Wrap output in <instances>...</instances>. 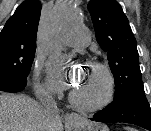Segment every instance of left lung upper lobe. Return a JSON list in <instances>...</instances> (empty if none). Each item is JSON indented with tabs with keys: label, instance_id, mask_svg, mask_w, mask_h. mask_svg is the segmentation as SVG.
Returning a JSON list of instances; mask_svg holds the SVG:
<instances>
[{
	"label": "left lung upper lobe",
	"instance_id": "left-lung-upper-lobe-1",
	"mask_svg": "<svg viewBox=\"0 0 151 131\" xmlns=\"http://www.w3.org/2000/svg\"><path fill=\"white\" fill-rule=\"evenodd\" d=\"M88 10L96 39L100 47L107 52L115 79L114 99L134 88H144L136 39L120 4L116 0H91Z\"/></svg>",
	"mask_w": 151,
	"mask_h": 131
}]
</instances>
